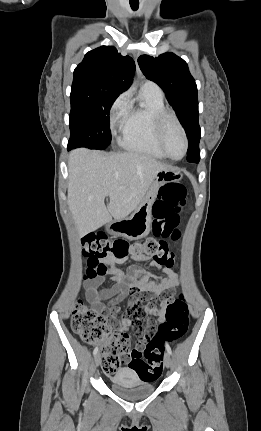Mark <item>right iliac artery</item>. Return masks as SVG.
Segmentation results:
<instances>
[{"mask_svg": "<svg viewBox=\"0 0 261 431\" xmlns=\"http://www.w3.org/2000/svg\"><path fill=\"white\" fill-rule=\"evenodd\" d=\"M98 353V347H96L93 351V355H96Z\"/></svg>", "mask_w": 261, "mask_h": 431, "instance_id": "right-iliac-artery-1", "label": "right iliac artery"}]
</instances>
